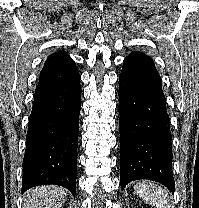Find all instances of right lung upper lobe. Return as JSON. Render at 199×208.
<instances>
[{
	"instance_id": "right-lung-upper-lobe-1",
	"label": "right lung upper lobe",
	"mask_w": 199,
	"mask_h": 208,
	"mask_svg": "<svg viewBox=\"0 0 199 208\" xmlns=\"http://www.w3.org/2000/svg\"><path fill=\"white\" fill-rule=\"evenodd\" d=\"M76 74H78V70L75 62L66 52L59 51L46 60L40 72L39 84L60 81Z\"/></svg>"
}]
</instances>
